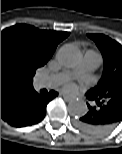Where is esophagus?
<instances>
[{"instance_id":"esophagus-1","label":"esophagus","mask_w":122,"mask_h":154,"mask_svg":"<svg viewBox=\"0 0 122 154\" xmlns=\"http://www.w3.org/2000/svg\"><path fill=\"white\" fill-rule=\"evenodd\" d=\"M61 95H62V97L64 98V100H65L66 102H70V101L73 100V97H71V96H69V95H67V94H65V93H61Z\"/></svg>"}]
</instances>
